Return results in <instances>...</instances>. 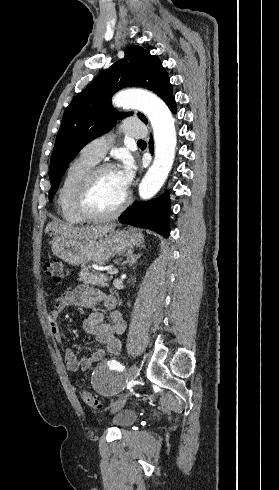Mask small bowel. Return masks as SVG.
Here are the masks:
<instances>
[{
  "label": "small bowel",
  "mask_w": 279,
  "mask_h": 490,
  "mask_svg": "<svg viewBox=\"0 0 279 490\" xmlns=\"http://www.w3.org/2000/svg\"><path fill=\"white\" fill-rule=\"evenodd\" d=\"M101 304L109 313L92 312L82 319L84 331L94 336L101 347L91 355L78 359L76 354L63 345V335L60 327V313L68 306L93 308ZM107 317V319H105ZM47 323L55 340L63 345L64 361L69 371L87 370L94 363L101 361L105 356H116L121 351L119 335L126 328V323L120 312L116 310V299L101 290L87 285L75 287L55 298L53 306L48 312Z\"/></svg>",
  "instance_id": "c3829d8e"
}]
</instances>
